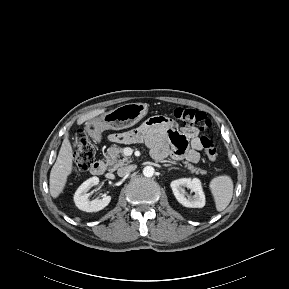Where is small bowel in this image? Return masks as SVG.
Segmentation results:
<instances>
[{
    "mask_svg": "<svg viewBox=\"0 0 289 289\" xmlns=\"http://www.w3.org/2000/svg\"><path fill=\"white\" fill-rule=\"evenodd\" d=\"M111 140L144 141L156 160L164 159L170 154L174 159L197 163L200 159L199 152L203 149L197 128L179 127L174 121L164 117L151 118L130 132L114 134Z\"/></svg>",
    "mask_w": 289,
    "mask_h": 289,
    "instance_id": "1",
    "label": "small bowel"
}]
</instances>
